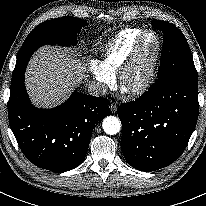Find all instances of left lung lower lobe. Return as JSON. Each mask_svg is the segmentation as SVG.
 <instances>
[{
	"label": "left lung lower lobe",
	"instance_id": "0a47b994",
	"mask_svg": "<svg viewBox=\"0 0 206 206\" xmlns=\"http://www.w3.org/2000/svg\"><path fill=\"white\" fill-rule=\"evenodd\" d=\"M199 114L198 83L166 82L118 107L122 152L135 169L154 171L173 163L184 151Z\"/></svg>",
	"mask_w": 206,
	"mask_h": 206
}]
</instances>
